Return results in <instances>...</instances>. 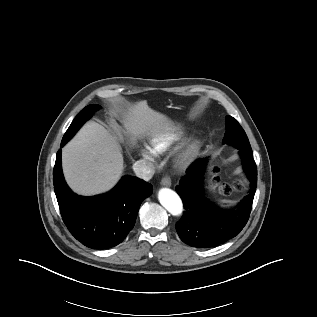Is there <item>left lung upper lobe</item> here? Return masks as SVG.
I'll return each mask as SVG.
<instances>
[{
  "instance_id": "left-lung-upper-lobe-1",
  "label": "left lung upper lobe",
  "mask_w": 317,
  "mask_h": 317,
  "mask_svg": "<svg viewBox=\"0 0 317 317\" xmlns=\"http://www.w3.org/2000/svg\"><path fill=\"white\" fill-rule=\"evenodd\" d=\"M223 144H230L239 150H249L252 152L249 140L243 128L236 119L231 116L226 117V133Z\"/></svg>"
}]
</instances>
